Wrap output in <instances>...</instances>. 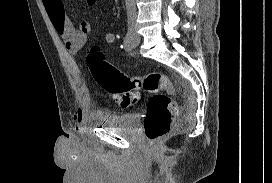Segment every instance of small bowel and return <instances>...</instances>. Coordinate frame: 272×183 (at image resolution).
Wrapping results in <instances>:
<instances>
[{
    "label": "small bowel",
    "mask_w": 272,
    "mask_h": 183,
    "mask_svg": "<svg viewBox=\"0 0 272 183\" xmlns=\"http://www.w3.org/2000/svg\"><path fill=\"white\" fill-rule=\"evenodd\" d=\"M43 4L55 30L62 37L67 50L73 55L79 54L91 31L90 24L85 20H81L75 26L65 13L63 0H43ZM103 40L106 44H112L116 40V35L112 32H107L104 34ZM73 117L78 124L82 123L81 111H76Z\"/></svg>",
    "instance_id": "c3829d8e"
}]
</instances>
